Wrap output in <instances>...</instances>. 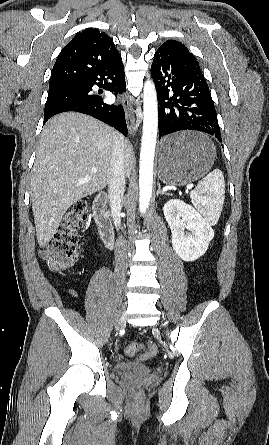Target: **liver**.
I'll return each instance as SVG.
<instances>
[{"label":"liver","mask_w":269,"mask_h":445,"mask_svg":"<svg viewBox=\"0 0 269 445\" xmlns=\"http://www.w3.org/2000/svg\"><path fill=\"white\" fill-rule=\"evenodd\" d=\"M116 132L90 116L67 112L51 118L43 128L31 176V198L37 241L46 246L63 215L80 199L109 184ZM129 175L134 153L124 143ZM97 168V172H91Z\"/></svg>","instance_id":"6515ba94"}]
</instances>
